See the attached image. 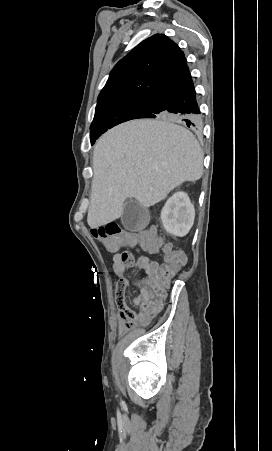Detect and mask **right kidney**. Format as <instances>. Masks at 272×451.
Segmentation results:
<instances>
[{
	"label": "right kidney",
	"mask_w": 272,
	"mask_h": 451,
	"mask_svg": "<svg viewBox=\"0 0 272 451\" xmlns=\"http://www.w3.org/2000/svg\"><path fill=\"white\" fill-rule=\"evenodd\" d=\"M195 210L188 194L176 192L167 200L161 212L162 224L168 233L186 235L194 224Z\"/></svg>",
	"instance_id": "right-kidney-1"
}]
</instances>
